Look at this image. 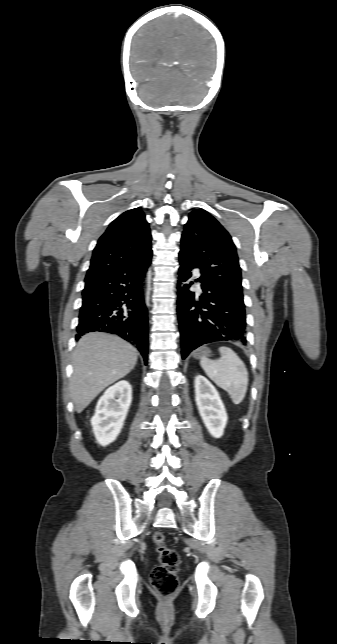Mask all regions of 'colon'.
Returning <instances> with one entry per match:
<instances>
[{"label": "colon", "instance_id": "5ec220e1", "mask_svg": "<svg viewBox=\"0 0 337 644\" xmlns=\"http://www.w3.org/2000/svg\"><path fill=\"white\" fill-rule=\"evenodd\" d=\"M152 541L159 554V564L151 572V583L162 598L168 599L179 587V556L175 550L166 546L162 532H155Z\"/></svg>", "mask_w": 337, "mask_h": 644}]
</instances>
